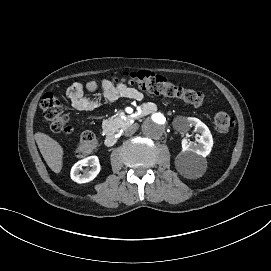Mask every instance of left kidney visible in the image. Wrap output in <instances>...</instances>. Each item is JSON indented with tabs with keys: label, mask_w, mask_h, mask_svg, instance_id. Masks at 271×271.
Returning <instances> with one entry per match:
<instances>
[{
	"label": "left kidney",
	"mask_w": 271,
	"mask_h": 271,
	"mask_svg": "<svg viewBox=\"0 0 271 271\" xmlns=\"http://www.w3.org/2000/svg\"><path fill=\"white\" fill-rule=\"evenodd\" d=\"M186 124L189 127L195 126L196 131L200 134V139L196 142H191L184 134L182 135L181 146L183 153L179 156L182 162L190 161L193 158V154L202 157L208 155L213 146L211 131L200 119L188 117Z\"/></svg>",
	"instance_id": "1"
}]
</instances>
